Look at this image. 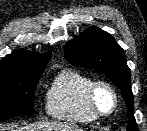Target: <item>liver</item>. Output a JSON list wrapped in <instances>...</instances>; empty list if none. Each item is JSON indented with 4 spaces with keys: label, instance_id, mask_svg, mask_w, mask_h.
I'll return each instance as SVG.
<instances>
[{
    "label": "liver",
    "instance_id": "obj_1",
    "mask_svg": "<svg viewBox=\"0 0 147 131\" xmlns=\"http://www.w3.org/2000/svg\"><path fill=\"white\" fill-rule=\"evenodd\" d=\"M15 131H83L79 126L66 122H38Z\"/></svg>",
    "mask_w": 147,
    "mask_h": 131
}]
</instances>
